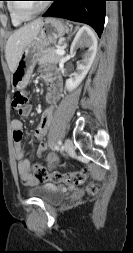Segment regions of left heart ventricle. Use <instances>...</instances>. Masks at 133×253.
Listing matches in <instances>:
<instances>
[{
  "label": "left heart ventricle",
  "mask_w": 133,
  "mask_h": 253,
  "mask_svg": "<svg viewBox=\"0 0 133 253\" xmlns=\"http://www.w3.org/2000/svg\"><path fill=\"white\" fill-rule=\"evenodd\" d=\"M44 4L43 1H28V2H19V7L25 12V13H33L37 9H39Z\"/></svg>",
  "instance_id": "left-heart-ventricle-1"
}]
</instances>
